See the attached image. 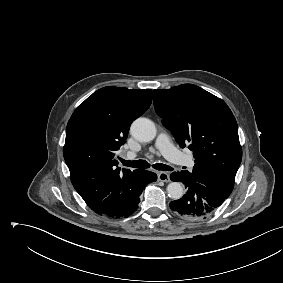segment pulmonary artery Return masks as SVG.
I'll use <instances>...</instances> for the list:
<instances>
[{"instance_id": "e3ab8cb5", "label": "pulmonary artery", "mask_w": 283, "mask_h": 283, "mask_svg": "<svg viewBox=\"0 0 283 283\" xmlns=\"http://www.w3.org/2000/svg\"><path fill=\"white\" fill-rule=\"evenodd\" d=\"M156 148L162 153V155L168 159L169 161L183 165L188 168H192L194 166V162L192 157L181 153L177 150L170 141L169 136L165 132H161L155 142ZM136 154L133 152H127L125 154L126 159H134Z\"/></svg>"}]
</instances>
